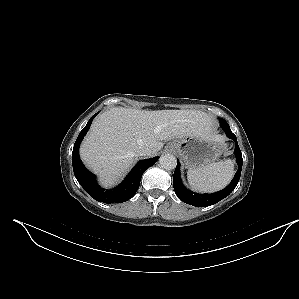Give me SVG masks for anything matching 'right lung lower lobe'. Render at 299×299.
<instances>
[{
	"label": "right lung lower lobe",
	"mask_w": 299,
	"mask_h": 299,
	"mask_svg": "<svg viewBox=\"0 0 299 299\" xmlns=\"http://www.w3.org/2000/svg\"><path fill=\"white\" fill-rule=\"evenodd\" d=\"M97 115H93L88 121L87 125L80 132L73 148L72 152V164L76 179L79 184L88 192L95 200L104 203H121L132 198L137 192L142 174L145 170L151 167L159 157L139 161L135 167L131 170L125 180L115 187L114 189L104 190L102 189L97 181L95 175L90 173L83 165L79 157V146L90 128V125Z\"/></svg>",
	"instance_id": "1"
}]
</instances>
